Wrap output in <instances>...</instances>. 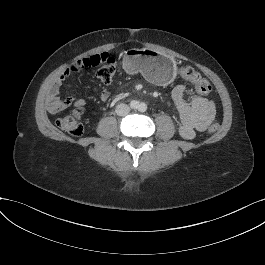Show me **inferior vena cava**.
Returning a JSON list of instances; mask_svg holds the SVG:
<instances>
[{
	"label": "inferior vena cava",
	"mask_w": 265,
	"mask_h": 265,
	"mask_svg": "<svg viewBox=\"0 0 265 265\" xmlns=\"http://www.w3.org/2000/svg\"><path fill=\"white\" fill-rule=\"evenodd\" d=\"M115 112L119 116H125L130 112V107L127 104L121 103L116 106Z\"/></svg>",
	"instance_id": "inferior-vena-cava-1"
}]
</instances>
